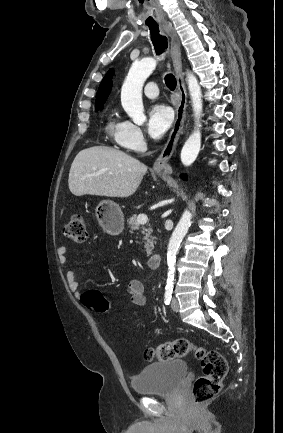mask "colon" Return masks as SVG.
<instances>
[{
  "mask_svg": "<svg viewBox=\"0 0 283 433\" xmlns=\"http://www.w3.org/2000/svg\"><path fill=\"white\" fill-rule=\"evenodd\" d=\"M64 235L75 245H82L87 240L86 219L79 213L72 214L64 227ZM81 303L97 314L108 311L107 299L97 290H89L81 295ZM194 354L200 361L202 376L193 386V398L196 404H203L215 397L221 390L222 382L228 372L225 357L216 350H207L197 346L187 338H178L164 342L156 347L147 348L144 358L147 360L169 361Z\"/></svg>",
  "mask_w": 283,
  "mask_h": 433,
  "instance_id": "5ec220e1",
  "label": "colon"
}]
</instances>
